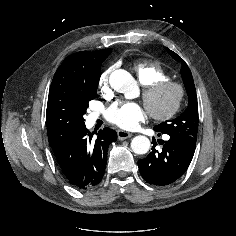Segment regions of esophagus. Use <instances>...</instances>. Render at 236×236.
<instances>
[{
    "instance_id": "esophagus-1",
    "label": "esophagus",
    "mask_w": 236,
    "mask_h": 236,
    "mask_svg": "<svg viewBox=\"0 0 236 236\" xmlns=\"http://www.w3.org/2000/svg\"><path fill=\"white\" fill-rule=\"evenodd\" d=\"M117 135H118L119 140H124V139L130 138L132 136L131 133L124 131V130H118Z\"/></svg>"
}]
</instances>
